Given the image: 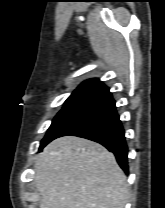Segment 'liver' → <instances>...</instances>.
<instances>
[{
	"mask_svg": "<svg viewBox=\"0 0 165 208\" xmlns=\"http://www.w3.org/2000/svg\"><path fill=\"white\" fill-rule=\"evenodd\" d=\"M34 182L40 208H124L126 176L102 145L60 137L37 156Z\"/></svg>",
	"mask_w": 165,
	"mask_h": 208,
	"instance_id": "1",
	"label": "liver"
}]
</instances>
